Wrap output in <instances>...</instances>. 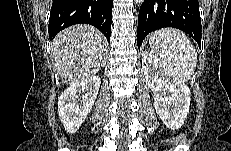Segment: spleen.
<instances>
[{
  "instance_id": "spleen-1",
  "label": "spleen",
  "mask_w": 231,
  "mask_h": 151,
  "mask_svg": "<svg viewBox=\"0 0 231 151\" xmlns=\"http://www.w3.org/2000/svg\"><path fill=\"white\" fill-rule=\"evenodd\" d=\"M151 51L168 64L176 76L188 81L197 66V53L188 37L175 28H163L149 37Z\"/></svg>"
}]
</instances>
